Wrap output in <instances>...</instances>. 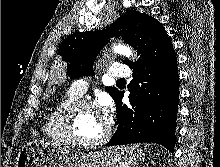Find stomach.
<instances>
[{
    "instance_id": "obj_1",
    "label": "stomach",
    "mask_w": 220,
    "mask_h": 167,
    "mask_svg": "<svg viewBox=\"0 0 220 167\" xmlns=\"http://www.w3.org/2000/svg\"><path fill=\"white\" fill-rule=\"evenodd\" d=\"M144 160L136 145L84 153L44 142H30L18 153L15 167H137Z\"/></svg>"
}]
</instances>
